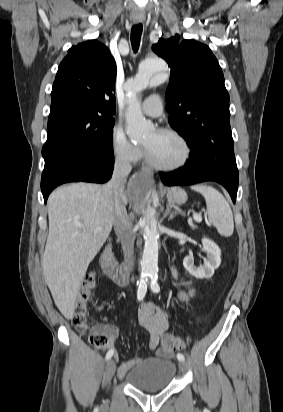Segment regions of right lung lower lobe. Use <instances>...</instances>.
Wrapping results in <instances>:
<instances>
[{"instance_id":"98d812e1","label":"right lung lower lobe","mask_w":283,"mask_h":412,"mask_svg":"<svg viewBox=\"0 0 283 412\" xmlns=\"http://www.w3.org/2000/svg\"><path fill=\"white\" fill-rule=\"evenodd\" d=\"M114 156L62 153L45 160L41 190L45 203L51 191L67 182L104 183L111 178Z\"/></svg>"}]
</instances>
